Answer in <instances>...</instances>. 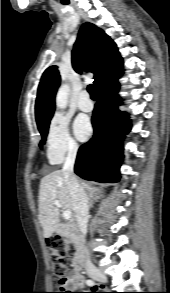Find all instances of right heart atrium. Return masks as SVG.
<instances>
[{
    "instance_id": "d8ad5b80",
    "label": "right heart atrium",
    "mask_w": 170,
    "mask_h": 293,
    "mask_svg": "<svg viewBox=\"0 0 170 293\" xmlns=\"http://www.w3.org/2000/svg\"><path fill=\"white\" fill-rule=\"evenodd\" d=\"M78 144L69 130V121L62 115L51 119L46 137V154L52 164L61 163L66 157L74 156Z\"/></svg>"
}]
</instances>
